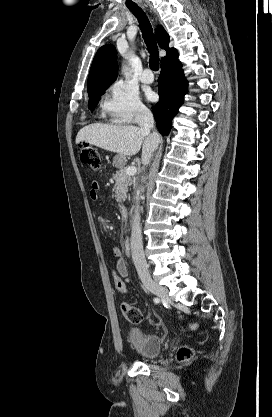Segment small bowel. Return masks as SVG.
I'll use <instances>...</instances> for the list:
<instances>
[{"label": "small bowel", "mask_w": 272, "mask_h": 417, "mask_svg": "<svg viewBox=\"0 0 272 417\" xmlns=\"http://www.w3.org/2000/svg\"><path fill=\"white\" fill-rule=\"evenodd\" d=\"M99 184L97 181H93L90 189V198L93 201L98 199ZM112 252L115 256V269L113 271V276L118 274L125 282H129L128 278V268L125 260L121 257V249L119 245H114L112 247Z\"/></svg>", "instance_id": "1"}]
</instances>
